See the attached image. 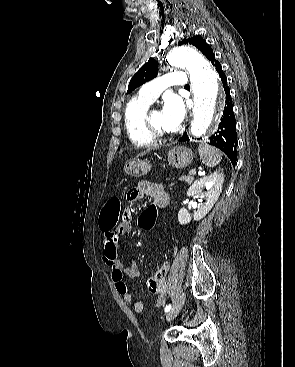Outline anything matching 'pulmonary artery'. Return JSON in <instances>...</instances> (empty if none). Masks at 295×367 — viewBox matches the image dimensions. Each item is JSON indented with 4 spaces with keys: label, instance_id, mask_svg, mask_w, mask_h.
Here are the masks:
<instances>
[{
    "label": "pulmonary artery",
    "instance_id": "pulmonary-artery-1",
    "mask_svg": "<svg viewBox=\"0 0 295 367\" xmlns=\"http://www.w3.org/2000/svg\"><path fill=\"white\" fill-rule=\"evenodd\" d=\"M187 76L183 71L169 72L163 76H160L153 81L143 85L139 90V97L153 102L164 89L169 86H181L187 85Z\"/></svg>",
    "mask_w": 295,
    "mask_h": 367
}]
</instances>
